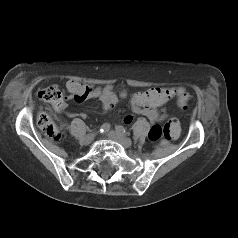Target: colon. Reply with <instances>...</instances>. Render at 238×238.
<instances>
[{"instance_id":"obj_1","label":"colon","mask_w":238,"mask_h":238,"mask_svg":"<svg viewBox=\"0 0 238 238\" xmlns=\"http://www.w3.org/2000/svg\"><path fill=\"white\" fill-rule=\"evenodd\" d=\"M37 95L41 101L53 106L54 108L60 107L64 103V94L57 85L44 87L38 91ZM174 96L178 97L180 107L186 108L188 101L187 93L182 88H178L174 89ZM37 123L44 134L49 138L57 141L62 139V132L52 122L47 113H39ZM179 132L180 125L178 121L176 119H171L163 127L154 125L149 131L148 138L151 141H157L161 137H164L167 140H172L179 136Z\"/></svg>"}]
</instances>
